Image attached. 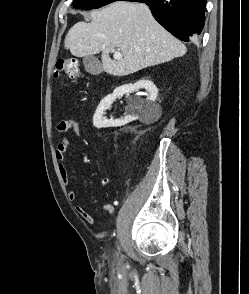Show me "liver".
<instances>
[{"instance_id": "obj_1", "label": "liver", "mask_w": 249, "mask_h": 294, "mask_svg": "<svg viewBox=\"0 0 249 294\" xmlns=\"http://www.w3.org/2000/svg\"><path fill=\"white\" fill-rule=\"evenodd\" d=\"M91 22H78L67 33L64 47L76 57L102 52L106 73L125 76L183 56V43L166 31L143 3L114 2L90 13ZM118 48L122 59L109 53Z\"/></svg>"}]
</instances>
